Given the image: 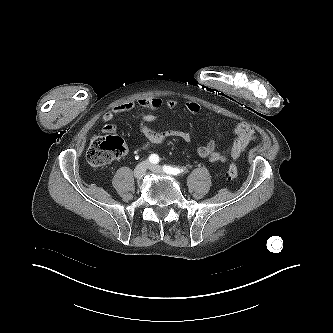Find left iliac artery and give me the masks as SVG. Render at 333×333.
Instances as JSON below:
<instances>
[{"label": "left iliac artery", "instance_id": "obj_1", "mask_svg": "<svg viewBox=\"0 0 333 333\" xmlns=\"http://www.w3.org/2000/svg\"><path fill=\"white\" fill-rule=\"evenodd\" d=\"M163 170L168 173V174H172V175H179L183 172H185L184 168H179V167H172V166H167L164 165L163 166Z\"/></svg>", "mask_w": 333, "mask_h": 333}]
</instances>
